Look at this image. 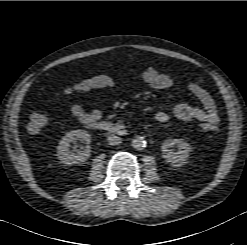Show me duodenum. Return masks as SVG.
Masks as SVG:
<instances>
[{
	"label": "duodenum",
	"mask_w": 247,
	"mask_h": 245,
	"mask_svg": "<svg viewBox=\"0 0 247 245\" xmlns=\"http://www.w3.org/2000/svg\"><path fill=\"white\" fill-rule=\"evenodd\" d=\"M91 129L108 132L113 135L123 136L126 132L125 127L121 124L111 122H94L90 125Z\"/></svg>",
	"instance_id": "410a0bca"
}]
</instances>
